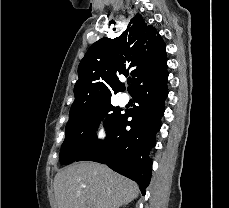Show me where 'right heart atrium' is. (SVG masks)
I'll return each instance as SVG.
<instances>
[{"label": "right heart atrium", "mask_w": 229, "mask_h": 208, "mask_svg": "<svg viewBox=\"0 0 229 208\" xmlns=\"http://www.w3.org/2000/svg\"><path fill=\"white\" fill-rule=\"evenodd\" d=\"M95 135L98 137V138H104L106 136V128L104 126V124L102 122L98 123L96 126H95Z\"/></svg>", "instance_id": "right-heart-atrium-1"}]
</instances>
